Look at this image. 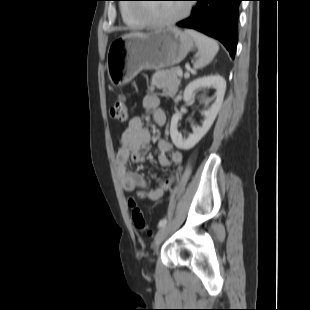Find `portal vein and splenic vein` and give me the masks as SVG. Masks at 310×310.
<instances>
[{"label": "portal vein and splenic vein", "mask_w": 310, "mask_h": 310, "mask_svg": "<svg viewBox=\"0 0 310 310\" xmlns=\"http://www.w3.org/2000/svg\"><path fill=\"white\" fill-rule=\"evenodd\" d=\"M177 75H178V76H182V75H183V72H182L181 69H179V70L177 71ZM186 76L189 77V73H187Z\"/></svg>", "instance_id": "portal-vein-and-splenic-vein-1"}]
</instances>
